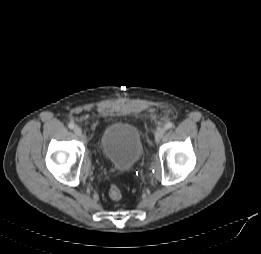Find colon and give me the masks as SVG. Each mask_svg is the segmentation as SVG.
<instances>
[{"instance_id": "obj_1", "label": "colon", "mask_w": 261, "mask_h": 254, "mask_svg": "<svg viewBox=\"0 0 261 254\" xmlns=\"http://www.w3.org/2000/svg\"><path fill=\"white\" fill-rule=\"evenodd\" d=\"M109 197L114 201H118L122 198V192L117 185H112L110 187Z\"/></svg>"}]
</instances>
